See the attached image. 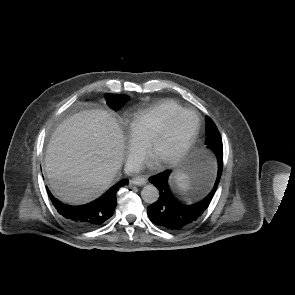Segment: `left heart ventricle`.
I'll use <instances>...</instances> for the list:
<instances>
[{"label": "left heart ventricle", "mask_w": 295, "mask_h": 295, "mask_svg": "<svg viewBox=\"0 0 295 295\" xmlns=\"http://www.w3.org/2000/svg\"><path fill=\"white\" fill-rule=\"evenodd\" d=\"M194 128V118L185 115L177 119L170 132L157 146L153 154L154 161H160L174 155L184 145Z\"/></svg>", "instance_id": "obj_1"}]
</instances>
